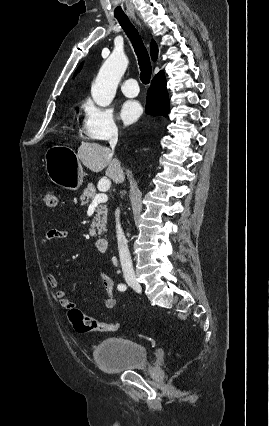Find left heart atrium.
Wrapping results in <instances>:
<instances>
[{
  "label": "left heart atrium",
  "mask_w": 269,
  "mask_h": 426,
  "mask_svg": "<svg viewBox=\"0 0 269 426\" xmlns=\"http://www.w3.org/2000/svg\"><path fill=\"white\" fill-rule=\"evenodd\" d=\"M142 114V107L138 101L127 100L120 108V119L124 124L135 122Z\"/></svg>",
  "instance_id": "39dd6f15"
}]
</instances>
